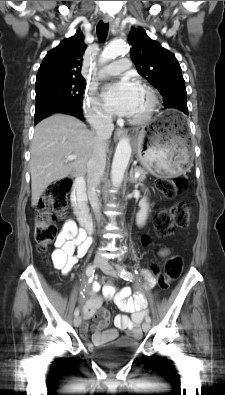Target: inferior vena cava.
<instances>
[{
    "mask_svg": "<svg viewBox=\"0 0 225 395\" xmlns=\"http://www.w3.org/2000/svg\"><path fill=\"white\" fill-rule=\"evenodd\" d=\"M92 126L95 130L96 137L93 153L87 164V187L89 201L95 214V218L99 223L101 221V212L97 187L101 182L106 166L105 145L114 130L112 116L97 113L93 117Z\"/></svg>",
    "mask_w": 225,
    "mask_h": 395,
    "instance_id": "obj_1",
    "label": "inferior vena cava"
}]
</instances>
